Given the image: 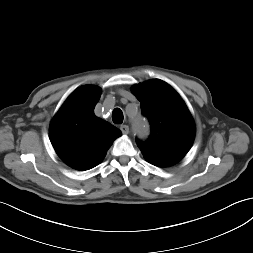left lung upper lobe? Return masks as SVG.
Masks as SVG:
<instances>
[{"label": "left lung upper lobe", "instance_id": "1", "mask_svg": "<svg viewBox=\"0 0 253 253\" xmlns=\"http://www.w3.org/2000/svg\"><path fill=\"white\" fill-rule=\"evenodd\" d=\"M151 124L148 140L137 146L149 163L168 167L189 151L195 136L193 119L178 93L166 82L149 80L132 87Z\"/></svg>", "mask_w": 253, "mask_h": 253}]
</instances>
